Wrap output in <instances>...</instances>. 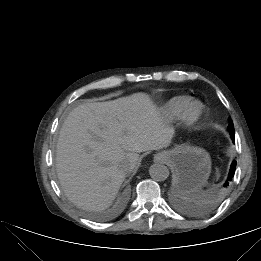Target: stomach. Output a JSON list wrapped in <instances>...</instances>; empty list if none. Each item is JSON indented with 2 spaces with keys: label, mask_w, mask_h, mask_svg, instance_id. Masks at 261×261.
I'll return each mask as SVG.
<instances>
[{
  "label": "stomach",
  "mask_w": 261,
  "mask_h": 261,
  "mask_svg": "<svg viewBox=\"0 0 261 261\" xmlns=\"http://www.w3.org/2000/svg\"><path fill=\"white\" fill-rule=\"evenodd\" d=\"M157 156L171 167L175 186L184 193H194L208 180L211 172L209 154L200 147L176 145Z\"/></svg>",
  "instance_id": "obj_1"
}]
</instances>
